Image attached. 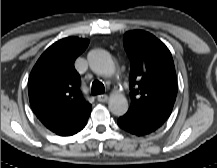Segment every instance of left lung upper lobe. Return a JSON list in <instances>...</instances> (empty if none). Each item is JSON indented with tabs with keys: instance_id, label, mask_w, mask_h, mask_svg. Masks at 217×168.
<instances>
[{
	"instance_id": "5c2ea615",
	"label": "left lung upper lobe",
	"mask_w": 217,
	"mask_h": 168,
	"mask_svg": "<svg viewBox=\"0 0 217 168\" xmlns=\"http://www.w3.org/2000/svg\"><path fill=\"white\" fill-rule=\"evenodd\" d=\"M124 47L131 61L132 105L124 115L133 122L160 128L169 118L177 95L176 73L169 49L154 35L128 31Z\"/></svg>"
}]
</instances>
